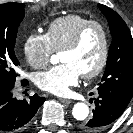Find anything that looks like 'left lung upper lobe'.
<instances>
[{"label":"left lung upper lobe","mask_w":133,"mask_h":133,"mask_svg":"<svg viewBox=\"0 0 133 133\" xmlns=\"http://www.w3.org/2000/svg\"><path fill=\"white\" fill-rule=\"evenodd\" d=\"M98 7L108 20L112 43L106 70L98 91H108L131 100L133 96V39L123 19L109 7Z\"/></svg>","instance_id":"obj_1"}]
</instances>
